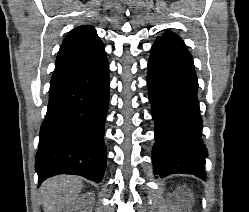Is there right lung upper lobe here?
Returning <instances> with one entry per match:
<instances>
[{
	"instance_id": "obj_1",
	"label": "right lung upper lobe",
	"mask_w": 249,
	"mask_h": 212,
	"mask_svg": "<svg viewBox=\"0 0 249 212\" xmlns=\"http://www.w3.org/2000/svg\"><path fill=\"white\" fill-rule=\"evenodd\" d=\"M104 55V44L96 30L90 25L79 26L65 37L52 78L86 67Z\"/></svg>"
}]
</instances>
